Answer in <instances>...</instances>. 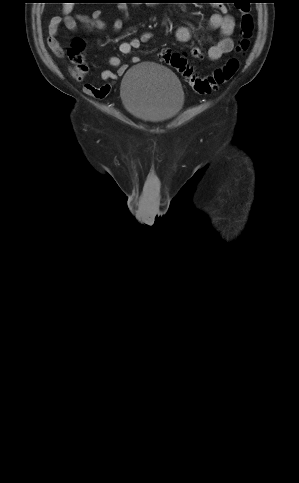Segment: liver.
Listing matches in <instances>:
<instances>
[{"mask_svg":"<svg viewBox=\"0 0 299 483\" xmlns=\"http://www.w3.org/2000/svg\"><path fill=\"white\" fill-rule=\"evenodd\" d=\"M73 8V3H64V13L69 14Z\"/></svg>","mask_w":299,"mask_h":483,"instance_id":"obj_1","label":"liver"}]
</instances>
